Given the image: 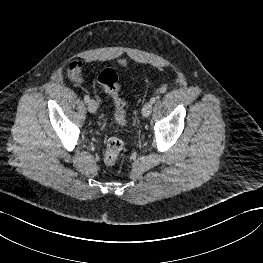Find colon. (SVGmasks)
<instances>
[{"mask_svg": "<svg viewBox=\"0 0 263 263\" xmlns=\"http://www.w3.org/2000/svg\"><path fill=\"white\" fill-rule=\"evenodd\" d=\"M98 82L108 93L114 102L115 120L120 126L126 125V102L120 95V85L117 73L112 68L103 69L98 75ZM124 151V142L118 137H111L106 141L104 151V162L115 165Z\"/></svg>", "mask_w": 263, "mask_h": 263, "instance_id": "colon-1", "label": "colon"}]
</instances>
